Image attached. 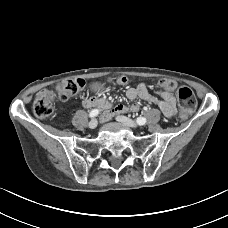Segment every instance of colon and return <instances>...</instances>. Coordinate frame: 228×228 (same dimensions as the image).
Here are the masks:
<instances>
[{
    "mask_svg": "<svg viewBox=\"0 0 228 228\" xmlns=\"http://www.w3.org/2000/svg\"><path fill=\"white\" fill-rule=\"evenodd\" d=\"M113 82L124 85L128 82L126 77L113 79ZM85 85V81L80 78H70L63 80L56 88V93L50 90L40 91L33 102V112L40 119L48 118L54 107L56 97L62 101L78 94ZM159 85L165 90L172 92L176 90L182 118L188 117L196 108L197 99L192 90L186 86L177 88L176 83L168 78L159 81Z\"/></svg>",
    "mask_w": 228,
    "mask_h": 228,
    "instance_id": "5ec220e1",
    "label": "colon"
}]
</instances>
